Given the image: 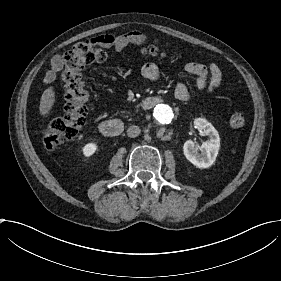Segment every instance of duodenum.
<instances>
[{"label": "duodenum", "mask_w": 281, "mask_h": 281, "mask_svg": "<svg viewBox=\"0 0 281 281\" xmlns=\"http://www.w3.org/2000/svg\"><path fill=\"white\" fill-rule=\"evenodd\" d=\"M163 102L161 97L149 96L144 98L140 105L141 108L148 110ZM100 132L109 137L120 135L124 130V124L120 119H109L103 121L99 126Z\"/></svg>", "instance_id": "obj_1"}]
</instances>
